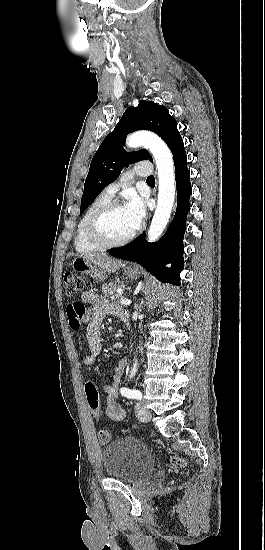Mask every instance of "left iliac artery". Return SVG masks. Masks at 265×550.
Here are the masks:
<instances>
[{
    "mask_svg": "<svg viewBox=\"0 0 265 550\" xmlns=\"http://www.w3.org/2000/svg\"><path fill=\"white\" fill-rule=\"evenodd\" d=\"M120 392L123 396L127 398L138 399V400L142 399V394L139 390H135V389L131 390L129 388L123 387L120 389Z\"/></svg>",
    "mask_w": 265,
    "mask_h": 550,
    "instance_id": "left-iliac-artery-1",
    "label": "left iliac artery"
}]
</instances>
